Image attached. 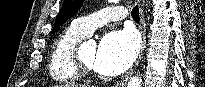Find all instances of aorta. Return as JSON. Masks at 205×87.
I'll return each instance as SVG.
<instances>
[{
    "instance_id": "1",
    "label": "aorta",
    "mask_w": 205,
    "mask_h": 87,
    "mask_svg": "<svg viewBox=\"0 0 205 87\" xmlns=\"http://www.w3.org/2000/svg\"><path fill=\"white\" fill-rule=\"evenodd\" d=\"M127 87H141V79L137 76H133L128 82Z\"/></svg>"
}]
</instances>
